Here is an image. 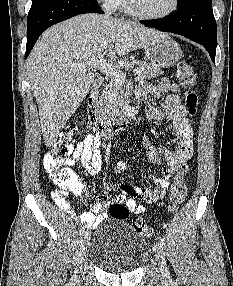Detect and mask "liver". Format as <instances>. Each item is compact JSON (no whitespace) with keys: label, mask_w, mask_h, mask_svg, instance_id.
<instances>
[{"label":"liver","mask_w":233,"mask_h":286,"mask_svg":"<svg viewBox=\"0 0 233 286\" xmlns=\"http://www.w3.org/2000/svg\"><path fill=\"white\" fill-rule=\"evenodd\" d=\"M166 33L109 15L82 14L46 30L27 59L46 146H52L89 93L95 74L79 67L107 55L116 60Z\"/></svg>","instance_id":"1"}]
</instances>
